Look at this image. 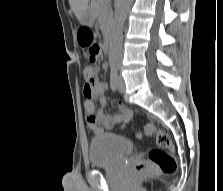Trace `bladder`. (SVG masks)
I'll return each mask as SVG.
<instances>
[{"label": "bladder", "instance_id": "31cf9c89", "mask_svg": "<svg viewBox=\"0 0 223 191\" xmlns=\"http://www.w3.org/2000/svg\"><path fill=\"white\" fill-rule=\"evenodd\" d=\"M133 143L120 135L103 134L91 139L88 156L91 167L114 166L133 151Z\"/></svg>", "mask_w": 223, "mask_h": 191}]
</instances>
